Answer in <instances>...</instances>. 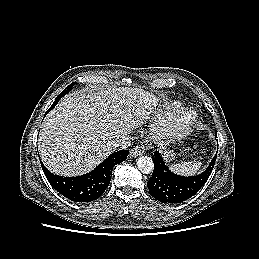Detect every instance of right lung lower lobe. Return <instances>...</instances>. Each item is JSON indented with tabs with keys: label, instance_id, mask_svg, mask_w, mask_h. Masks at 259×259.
Returning a JSON list of instances; mask_svg holds the SVG:
<instances>
[{
	"label": "right lung lower lobe",
	"instance_id": "obj_1",
	"mask_svg": "<svg viewBox=\"0 0 259 259\" xmlns=\"http://www.w3.org/2000/svg\"><path fill=\"white\" fill-rule=\"evenodd\" d=\"M62 97H57L54 107ZM52 109L46 112V114ZM45 114V115H46ZM129 153V150H121L112 153L107 159L100 163L91 172L77 177H62L52 174L44 165L43 172L51 184L64 197L75 202H89L100 197L108 187L112 169L115 165L123 162Z\"/></svg>",
	"mask_w": 259,
	"mask_h": 259
}]
</instances>
